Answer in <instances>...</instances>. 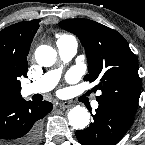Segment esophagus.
Segmentation results:
<instances>
[{"label":"esophagus","mask_w":145,"mask_h":145,"mask_svg":"<svg viewBox=\"0 0 145 145\" xmlns=\"http://www.w3.org/2000/svg\"><path fill=\"white\" fill-rule=\"evenodd\" d=\"M58 107H59L60 109H66V108L71 107V104H70V102H67V101L59 102V103H58Z\"/></svg>","instance_id":"esophagus-1"}]
</instances>
